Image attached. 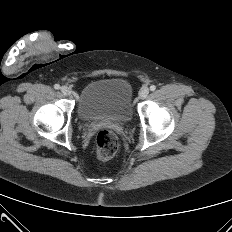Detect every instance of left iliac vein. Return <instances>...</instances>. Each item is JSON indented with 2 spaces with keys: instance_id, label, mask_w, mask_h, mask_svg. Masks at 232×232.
I'll return each instance as SVG.
<instances>
[{
  "instance_id": "1",
  "label": "left iliac vein",
  "mask_w": 232,
  "mask_h": 232,
  "mask_svg": "<svg viewBox=\"0 0 232 232\" xmlns=\"http://www.w3.org/2000/svg\"><path fill=\"white\" fill-rule=\"evenodd\" d=\"M149 94V88L148 87H142L139 91V96L141 99H145Z\"/></svg>"
}]
</instances>
